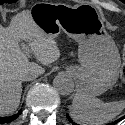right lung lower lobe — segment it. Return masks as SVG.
I'll return each instance as SVG.
<instances>
[{
    "label": "right lung lower lobe",
    "instance_id": "right-lung-lower-lobe-1",
    "mask_svg": "<svg viewBox=\"0 0 125 125\" xmlns=\"http://www.w3.org/2000/svg\"><path fill=\"white\" fill-rule=\"evenodd\" d=\"M21 112L22 110H19L18 113L12 116L0 117V123L3 124V123H8V122L15 120L20 115Z\"/></svg>",
    "mask_w": 125,
    "mask_h": 125
}]
</instances>
